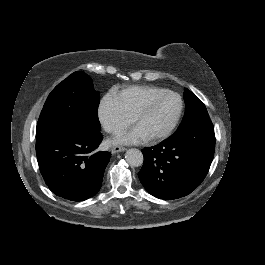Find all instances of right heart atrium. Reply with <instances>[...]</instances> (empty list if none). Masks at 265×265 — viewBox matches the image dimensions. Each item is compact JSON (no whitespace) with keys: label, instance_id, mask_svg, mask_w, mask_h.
<instances>
[{"label":"right heart atrium","instance_id":"d8ad5b80","mask_svg":"<svg viewBox=\"0 0 265 265\" xmlns=\"http://www.w3.org/2000/svg\"><path fill=\"white\" fill-rule=\"evenodd\" d=\"M103 129L110 134H117L133 123L134 117L127 114L114 96L105 97L98 111Z\"/></svg>","mask_w":265,"mask_h":265}]
</instances>
